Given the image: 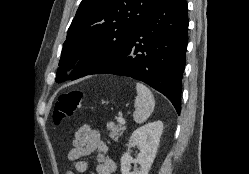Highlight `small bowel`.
Returning <instances> with one entry per match:
<instances>
[{
    "label": "small bowel",
    "mask_w": 249,
    "mask_h": 174,
    "mask_svg": "<svg viewBox=\"0 0 249 174\" xmlns=\"http://www.w3.org/2000/svg\"><path fill=\"white\" fill-rule=\"evenodd\" d=\"M72 149L68 152L67 158L75 162V170L66 174L84 173L92 166L98 174H115L117 166L115 161L108 156L109 147L102 140L100 132L92 128L89 124L82 125L74 134ZM94 156L93 164L81 158Z\"/></svg>",
    "instance_id": "c3829d8e"
}]
</instances>
